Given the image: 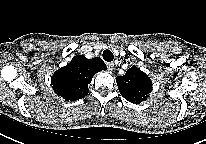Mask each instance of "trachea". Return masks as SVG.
Segmentation results:
<instances>
[{"label": "trachea", "instance_id": "3493384b", "mask_svg": "<svg viewBox=\"0 0 206 144\" xmlns=\"http://www.w3.org/2000/svg\"><path fill=\"white\" fill-rule=\"evenodd\" d=\"M103 59L107 62H111L114 59V55L110 50L106 49L103 51Z\"/></svg>", "mask_w": 206, "mask_h": 144}]
</instances>
